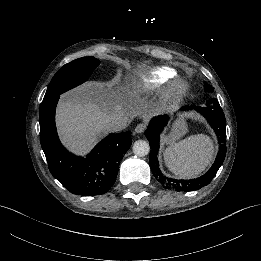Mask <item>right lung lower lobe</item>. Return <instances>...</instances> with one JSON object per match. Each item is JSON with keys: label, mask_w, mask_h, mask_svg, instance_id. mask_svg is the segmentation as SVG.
I'll return each instance as SVG.
<instances>
[{"label": "right lung lower lobe", "mask_w": 261, "mask_h": 261, "mask_svg": "<svg viewBox=\"0 0 261 261\" xmlns=\"http://www.w3.org/2000/svg\"><path fill=\"white\" fill-rule=\"evenodd\" d=\"M60 95L43 100L40 113V142L51 174L71 193L102 195L116 181L120 160L129 149L131 132L110 134L86 156L69 153L60 143L55 109Z\"/></svg>", "instance_id": "98d812e1"}]
</instances>
